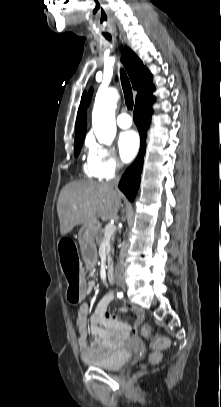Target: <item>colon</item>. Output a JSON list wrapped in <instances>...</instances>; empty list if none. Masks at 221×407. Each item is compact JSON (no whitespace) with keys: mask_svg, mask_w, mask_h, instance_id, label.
I'll list each match as a JSON object with an SVG mask.
<instances>
[{"mask_svg":"<svg viewBox=\"0 0 221 407\" xmlns=\"http://www.w3.org/2000/svg\"><path fill=\"white\" fill-rule=\"evenodd\" d=\"M59 253L61 265L69 284L67 304L68 306H80L81 300L84 298L82 291L83 282L80 273L79 259L73 242L69 239L61 240ZM142 335L154 349V352L149 358L150 363L154 364L159 362L161 359L160 351L169 346V340L154 336L148 325L142 327Z\"/></svg>","mask_w":221,"mask_h":407,"instance_id":"1","label":"colon"}]
</instances>
